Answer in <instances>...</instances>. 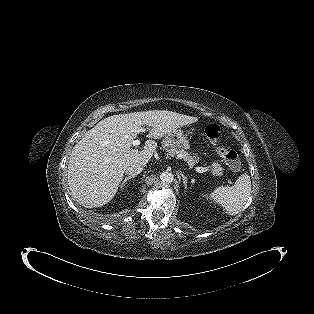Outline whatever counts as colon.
<instances>
[{"instance_id": "obj_1", "label": "colon", "mask_w": 314, "mask_h": 314, "mask_svg": "<svg viewBox=\"0 0 314 314\" xmlns=\"http://www.w3.org/2000/svg\"><path fill=\"white\" fill-rule=\"evenodd\" d=\"M206 136L215 145L218 154L222 157L229 168L238 170L241 162L237 152L233 149L227 148L221 144L223 136L222 130L217 124H209L205 129Z\"/></svg>"}]
</instances>
